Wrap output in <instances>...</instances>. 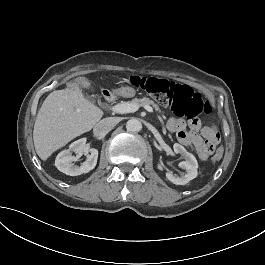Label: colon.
I'll return each instance as SVG.
<instances>
[{
	"mask_svg": "<svg viewBox=\"0 0 265 265\" xmlns=\"http://www.w3.org/2000/svg\"><path fill=\"white\" fill-rule=\"evenodd\" d=\"M134 86L138 90L154 98L159 104L169 108L173 115L192 119L202 114H209L211 106L200 94L188 85L175 83L171 80L157 77H133ZM222 146L212 153V161L219 162L223 156Z\"/></svg>",
	"mask_w": 265,
	"mask_h": 265,
	"instance_id": "obj_1",
	"label": "colon"
}]
</instances>
